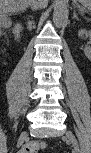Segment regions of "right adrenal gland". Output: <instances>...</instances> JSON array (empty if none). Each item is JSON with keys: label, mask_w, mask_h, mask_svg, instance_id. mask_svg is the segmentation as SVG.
Instances as JSON below:
<instances>
[{"label": "right adrenal gland", "mask_w": 91, "mask_h": 153, "mask_svg": "<svg viewBox=\"0 0 91 153\" xmlns=\"http://www.w3.org/2000/svg\"><path fill=\"white\" fill-rule=\"evenodd\" d=\"M31 10H32V11H35V9H34L32 6H31Z\"/></svg>", "instance_id": "2a0ac1e0"}]
</instances>
